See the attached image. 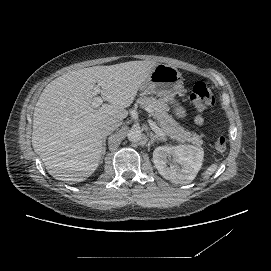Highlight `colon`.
I'll return each instance as SVG.
<instances>
[{
    "instance_id": "colon-1",
    "label": "colon",
    "mask_w": 271,
    "mask_h": 271,
    "mask_svg": "<svg viewBox=\"0 0 271 271\" xmlns=\"http://www.w3.org/2000/svg\"><path fill=\"white\" fill-rule=\"evenodd\" d=\"M190 101L198 111V121H202L203 111L214 105L215 97L211 89L205 83L197 82L192 88ZM226 146L227 141L224 137H219L215 142V147L218 151H224Z\"/></svg>"
}]
</instances>
